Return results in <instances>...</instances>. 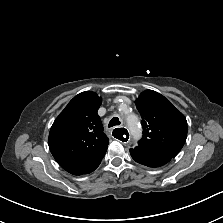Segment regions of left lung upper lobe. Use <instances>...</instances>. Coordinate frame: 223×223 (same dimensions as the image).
<instances>
[{
	"label": "left lung upper lobe",
	"instance_id": "1",
	"mask_svg": "<svg viewBox=\"0 0 223 223\" xmlns=\"http://www.w3.org/2000/svg\"><path fill=\"white\" fill-rule=\"evenodd\" d=\"M135 104L143 127V136L138 146L174 158L187 137L184 115L153 90L141 93Z\"/></svg>",
	"mask_w": 223,
	"mask_h": 223
}]
</instances>
